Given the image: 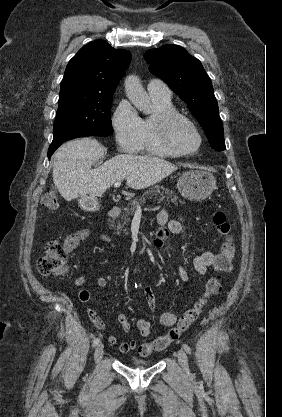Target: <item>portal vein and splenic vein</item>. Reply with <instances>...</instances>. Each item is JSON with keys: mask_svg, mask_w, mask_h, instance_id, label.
I'll list each match as a JSON object with an SVG mask.
<instances>
[{"mask_svg": "<svg viewBox=\"0 0 282 417\" xmlns=\"http://www.w3.org/2000/svg\"><path fill=\"white\" fill-rule=\"evenodd\" d=\"M121 184V180H118V182H114V186H120ZM138 208L140 207L139 204L137 206Z\"/></svg>", "mask_w": 282, "mask_h": 417, "instance_id": "18ae733b", "label": "portal vein and splenic vein"}]
</instances>
